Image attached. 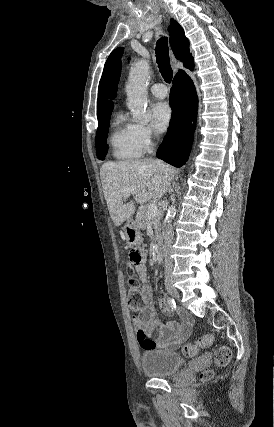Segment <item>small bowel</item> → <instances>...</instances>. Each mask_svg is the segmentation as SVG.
<instances>
[{
  "label": "small bowel",
  "mask_w": 274,
  "mask_h": 427,
  "mask_svg": "<svg viewBox=\"0 0 274 427\" xmlns=\"http://www.w3.org/2000/svg\"><path fill=\"white\" fill-rule=\"evenodd\" d=\"M136 271L143 282V307L139 310V314L132 318L139 346L147 353L155 350L174 351L178 349L190 336V318L183 315L181 323L166 320L157 324L152 305V290L147 284V267L144 261L136 265ZM159 306L161 314L167 315L169 306L164 298L160 299Z\"/></svg>",
  "instance_id": "obj_1"
}]
</instances>
